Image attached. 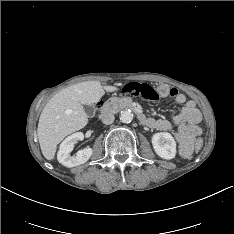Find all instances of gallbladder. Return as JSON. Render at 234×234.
Instances as JSON below:
<instances>
[{
  "mask_svg": "<svg viewBox=\"0 0 234 234\" xmlns=\"http://www.w3.org/2000/svg\"><path fill=\"white\" fill-rule=\"evenodd\" d=\"M85 112L87 113V115H93L94 114V107L91 105H84L83 106Z\"/></svg>",
  "mask_w": 234,
  "mask_h": 234,
  "instance_id": "1",
  "label": "gallbladder"
}]
</instances>
